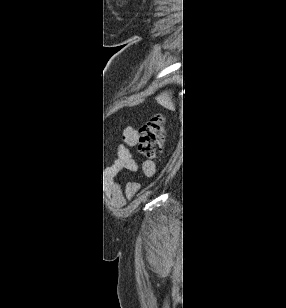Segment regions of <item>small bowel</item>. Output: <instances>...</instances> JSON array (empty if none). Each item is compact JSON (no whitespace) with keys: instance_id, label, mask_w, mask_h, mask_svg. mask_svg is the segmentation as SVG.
Masks as SVG:
<instances>
[{"instance_id":"obj_1","label":"small bowel","mask_w":286,"mask_h":308,"mask_svg":"<svg viewBox=\"0 0 286 308\" xmlns=\"http://www.w3.org/2000/svg\"><path fill=\"white\" fill-rule=\"evenodd\" d=\"M139 137L138 131L132 127H126L123 130V140L125 145L120 148V159L119 163L115 164L112 169L115 170L116 173L122 170V167L127 169L132 173L138 172V164L131 157V153L128 147L136 144L137 139ZM143 173L147 176H152L155 172V167L152 162H144L142 165Z\"/></svg>"}]
</instances>
